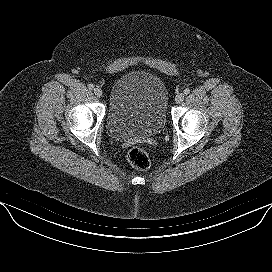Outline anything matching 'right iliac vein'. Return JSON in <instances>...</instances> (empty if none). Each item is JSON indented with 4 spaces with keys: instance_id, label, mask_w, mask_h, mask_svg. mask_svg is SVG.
Instances as JSON below:
<instances>
[{
    "instance_id": "1",
    "label": "right iliac vein",
    "mask_w": 272,
    "mask_h": 272,
    "mask_svg": "<svg viewBox=\"0 0 272 272\" xmlns=\"http://www.w3.org/2000/svg\"><path fill=\"white\" fill-rule=\"evenodd\" d=\"M94 93L99 98L102 97V95H103V91H102V89L100 87L94 88Z\"/></svg>"
}]
</instances>
